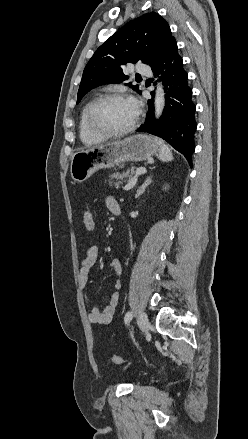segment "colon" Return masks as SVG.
<instances>
[{
	"label": "colon",
	"instance_id": "1",
	"mask_svg": "<svg viewBox=\"0 0 248 439\" xmlns=\"http://www.w3.org/2000/svg\"><path fill=\"white\" fill-rule=\"evenodd\" d=\"M83 223L86 230L91 231L95 226V217L91 210H86L83 214ZM110 361L114 364H122L123 358L118 355H111Z\"/></svg>",
	"mask_w": 248,
	"mask_h": 439
}]
</instances>
